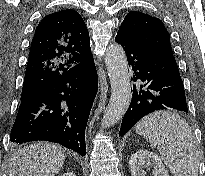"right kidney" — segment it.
I'll use <instances>...</instances> for the list:
<instances>
[{"label": "right kidney", "mask_w": 205, "mask_h": 176, "mask_svg": "<svg viewBox=\"0 0 205 176\" xmlns=\"http://www.w3.org/2000/svg\"><path fill=\"white\" fill-rule=\"evenodd\" d=\"M60 176H76V175L72 172H67V173H64L63 175H60Z\"/></svg>", "instance_id": "1"}]
</instances>
